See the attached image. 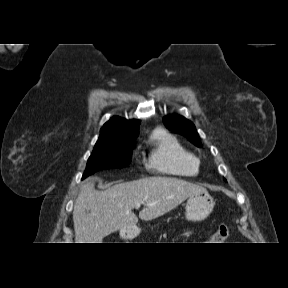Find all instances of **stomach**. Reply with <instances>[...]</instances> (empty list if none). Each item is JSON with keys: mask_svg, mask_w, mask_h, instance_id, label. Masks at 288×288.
<instances>
[{"mask_svg": "<svg viewBox=\"0 0 288 288\" xmlns=\"http://www.w3.org/2000/svg\"><path fill=\"white\" fill-rule=\"evenodd\" d=\"M214 204V199L206 189L189 196L186 203V219L190 221L204 220L212 212ZM139 233L140 230L136 228L130 231H122L121 236L125 239H131Z\"/></svg>", "mask_w": 288, "mask_h": 288, "instance_id": "obj_1", "label": "stomach"}]
</instances>
